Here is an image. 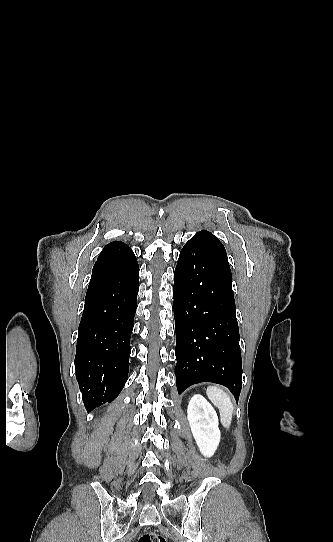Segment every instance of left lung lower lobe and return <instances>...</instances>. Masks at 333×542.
I'll return each instance as SVG.
<instances>
[{
	"label": "left lung lower lobe",
	"mask_w": 333,
	"mask_h": 542,
	"mask_svg": "<svg viewBox=\"0 0 333 542\" xmlns=\"http://www.w3.org/2000/svg\"><path fill=\"white\" fill-rule=\"evenodd\" d=\"M173 296L178 393L213 382L238 400L242 358L227 254L190 239L179 255Z\"/></svg>",
	"instance_id": "left-lung-lower-lobe-1"
}]
</instances>
